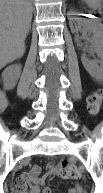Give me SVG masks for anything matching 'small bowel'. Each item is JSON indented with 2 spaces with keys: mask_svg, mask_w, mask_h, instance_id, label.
Returning <instances> with one entry per match:
<instances>
[{
  "mask_svg": "<svg viewBox=\"0 0 103 193\" xmlns=\"http://www.w3.org/2000/svg\"><path fill=\"white\" fill-rule=\"evenodd\" d=\"M27 184L30 187L29 193H51L49 187L45 186V176L41 175L39 165H33L29 171L16 179L13 188L15 193H27ZM67 193H86L84 187L78 184L71 186Z\"/></svg>",
  "mask_w": 103,
  "mask_h": 193,
  "instance_id": "1",
  "label": "small bowel"
}]
</instances>
